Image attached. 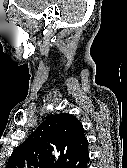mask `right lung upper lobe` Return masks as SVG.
Instances as JSON below:
<instances>
[{
	"label": "right lung upper lobe",
	"mask_w": 127,
	"mask_h": 168,
	"mask_svg": "<svg viewBox=\"0 0 127 168\" xmlns=\"http://www.w3.org/2000/svg\"><path fill=\"white\" fill-rule=\"evenodd\" d=\"M87 145L81 122L56 114L12 152L7 168H76L89 157Z\"/></svg>",
	"instance_id": "right-lung-upper-lobe-1"
}]
</instances>
